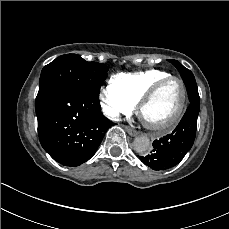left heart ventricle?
I'll return each mask as SVG.
<instances>
[{"label": "left heart ventricle", "instance_id": "obj_1", "mask_svg": "<svg viewBox=\"0 0 229 229\" xmlns=\"http://www.w3.org/2000/svg\"><path fill=\"white\" fill-rule=\"evenodd\" d=\"M179 84L181 83L178 80L170 81L149 100L143 110L146 123L157 127L160 124L166 125V120L176 110Z\"/></svg>", "mask_w": 229, "mask_h": 229}]
</instances>
